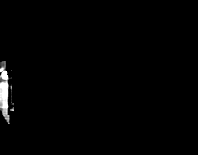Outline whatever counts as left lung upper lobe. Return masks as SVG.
Returning <instances> with one entry per match:
<instances>
[{"instance_id":"left-lung-upper-lobe-1","label":"left lung upper lobe","mask_w":198,"mask_h":155,"mask_svg":"<svg viewBox=\"0 0 198 155\" xmlns=\"http://www.w3.org/2000/svg\"><path fill=\"white\" fill-rule=\"evenodd\" d=\"M126 96L138 105L157 102L162 96L159 84L143 72H134L123 84Z\"/></svg>"}]
</instances>
